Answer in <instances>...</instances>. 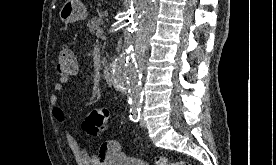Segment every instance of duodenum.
<instances>
[{"mask_svg": "<svg viewBox=\"0 0 276 165\" xmlns=\"http://www.w3.org/2000/svg\"><path fill=\"white\" fill-rule=\"evenodd\" d=\"M103 76L107 81H110L111 75H110V68L109 67H105L103 69Z\"/></svg>", "mask_w": 276, "mask_h": 165, "instance_id": "1", "label": "duodenum"}]
</instances>
